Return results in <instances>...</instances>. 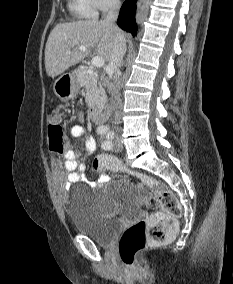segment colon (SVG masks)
I'll return each mask as SVG.
<instances>
[{
    "instance_id": "5ec220e1",
    "label": "colon",
    "mask_w": 233,
    "mask_h": 284,
    "mask_svg": "<svg viewBox=\"0 0 233 284\" xmlns=\"http://www.w3.org/2000/svg\"><path fill=\"white\" fill-rule=\"evenodd\" d=\"M49 146L58 153L70 150L69 141L62 125L51 122L48 126ZM93 167L103 176H120L136 179L140 185L152 189L160 203L161 210L149 219L129 226L119 241V255L122 263L132 269L136 255L150 243H164L174 234L181 206L173 192L163 183L141 172L131 171L119 160L109 155H100L93 161Z\"/></svg>"
}]
</instances>
